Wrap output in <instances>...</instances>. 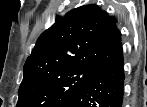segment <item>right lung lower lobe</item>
I'll return each mask as SVG.
<instances>
[{"label": "right lung lower lobe", "mask_w": 147, "mask_h": 107, "mask_svg": "<svg viewBox=\"0 0 147 107\" xmlns=\"http://www.w3.org/2000/svg\"><path fill=\"white\" fill-rule=\"evenodd\" d=\"M122 47L93 75L90 81L61 107H122Z\"/></svg>", "instance_id": "right-lung-lower-lobe-1"}]
</instances>
